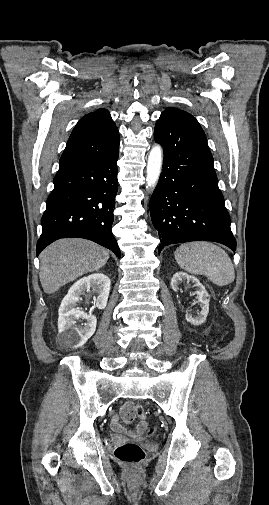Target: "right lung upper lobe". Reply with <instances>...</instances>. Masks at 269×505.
<instances>
[{
  "label": "right lung upper lobe",
  "instance_id": "cb5924a9",
  "mask_svg": "<svg viewBox=\"0 0 269 505\" xmlns=\"http://www.w3.org/2000/svg\"><path fill=\"white\" fill-rule=\"evenodd\" d=\"M119 144V132L106 109L82 117L74 127L60 158L59 169L90 160Z\"/></svg>",
  "mask_w": 269,
  "mask_h": 505
}]
</instances>
